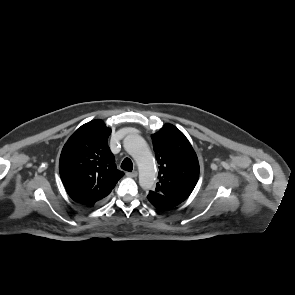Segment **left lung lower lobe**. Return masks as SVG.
Instances as JSON below:
<instances>
[{"label": "left lung lower lobe", "mask_w": 295, "mask_h": 295, "mask_svg": "<svg viewBox=\"0 0 295 295\" xmlns=\"http://www.w3.org/2000/svg\"><path fill=\"white\" fill-rule=\"evenodd\" d=\"M147 198L154 207L161 210L174 208L181 203L154 191H150Z\"/></svg>", "instance_id": "obj_1"}]
</instances>
